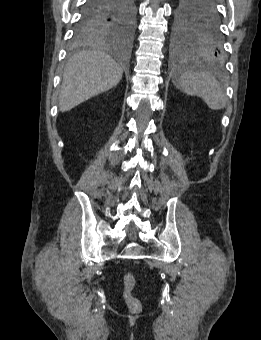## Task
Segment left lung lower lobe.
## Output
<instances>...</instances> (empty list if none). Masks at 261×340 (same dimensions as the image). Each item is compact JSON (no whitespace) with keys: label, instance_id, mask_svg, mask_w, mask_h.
Instances as JSON below:
<instances>
[{"label":"left lung lower lobe","instance_id":"obj_1","mask_svg":"<svg viewBox=\"0 0 261 340\" xmlns=\"http://www.w3.org/2000/svg\"><path fill=\"white\" fill-rule=\"evenodd\" d=\"M204 4L206 6H209V5L216 6L217 2H216V0H207V1L204 2Z\"/></svg>","mask_w":261,"mask_h":340}]
</instances>
